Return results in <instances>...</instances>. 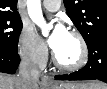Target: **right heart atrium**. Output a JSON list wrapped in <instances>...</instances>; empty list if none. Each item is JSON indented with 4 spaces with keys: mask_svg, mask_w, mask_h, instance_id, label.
I'll return each mask as SVG.
<instances>
[{
    "mask_svg": "<svg viewBox=\"0 0 107 89\" xmlns=\"http://www.w3.org/2000/svg\"><path fill=\"white\" fill-rule=\"evenodd\" d=\"M18 52L31 65L41 67L47 61V48L32 27H23L18 38Z\"/></svg>",
    "mask_w": 107,
    "mask_h": 89,
    "instance_id": "d8ad5b80",
    "label": "right heart atrium"
}]
</instances>
